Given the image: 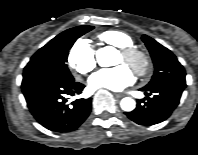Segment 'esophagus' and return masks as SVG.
Listing matches in <instances>:
<instances>
[{"label":"esophagus","mask_w":198,"mask_h":155,"mask_svg":"<svg viewBox=\"0 0 198 155\" xmlns=\"http://www.w3.org/2000/svg\"><path fill=\"white\" fill-rule=\"evenodd\" d=\"M115 97L120 99V98L124 97V95L123 94H115Z\"/></svg>","instance_id":"obj_1"}]
</instances>
